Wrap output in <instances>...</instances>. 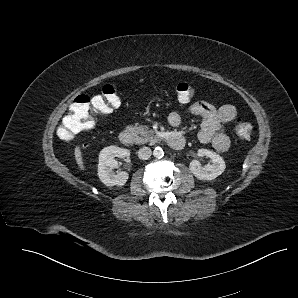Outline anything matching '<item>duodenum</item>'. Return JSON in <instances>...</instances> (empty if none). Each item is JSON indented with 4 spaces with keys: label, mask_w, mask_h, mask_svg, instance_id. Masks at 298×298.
I'll list each match as a JSON object with an SVG mask.
<instances>
[{
    "label": "duodenum",
    "mask_w": 298,
    "mask_h": 298,
    "mask_svg": "<svg viewBox=\"0 0 298 298\" xmlns=\"http://www.w3.org/2000/svg\"><path fill=\"white\" fill-rule=\"evenodd\" d=\"M118 137L124 145H132L135 141V136L130 129L122 130ZM167 143L170 148L180 150L185 146V138L180 134L174 133L168 136Z\"/></svg>",
    "instance_id": "duodenum-1"
}]
</instances>
